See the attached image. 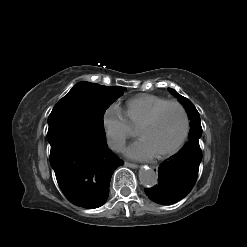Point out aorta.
<instances>
[{
  "label": "aorta",
  "instance_id": "obj_1",
  "mask_svg": "<svg viewBox=\"0 0 247 247\" xmlns=\"http://www.w3.org/2000/svg\"><path fill=\"white\" fill-rule=\"evenodd\" d=\"M139 180L143 186L153 187L158 182V176L151 168H143L139 172Z\"/></svg>",
  "mask_w": 247,
  "mask_h": 247
}]
</instances>
